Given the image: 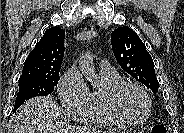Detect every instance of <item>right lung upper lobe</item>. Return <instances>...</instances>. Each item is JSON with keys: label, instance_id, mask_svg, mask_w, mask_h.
<instances>
[{"label": "right lung upper lobe", "instance_id": "1", "mask_svg": "<svg viewBox=\"0 0 184 133\" xmlns=\"http://www.w3.org/2000/svg\"><path fill=\"white\" fill-rule=\"evenodd\" d=\"M65 31L58 27L46 30L25 60L19 80L49 79L59 76L64 56Z\"/></svg>", "mask_w": 184, "mask_h": 133}]
</instances>
